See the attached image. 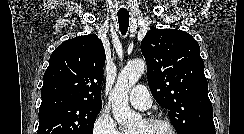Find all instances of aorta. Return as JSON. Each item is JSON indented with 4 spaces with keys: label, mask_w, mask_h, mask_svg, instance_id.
<instances>
[{
    "label": "aorta",
    "mask_w": 244,
    "mask_h": 134,
    "mask_svg": "<svg viewBox=\"0 0 244 134\" xmlns=\"http://www.w3.org/2000/svg\"><path fill=\"white\" fill-rule=\"evenodd\" d=\"M146 64L141 59L128 62L119 73L117 83L110 93L109 100L112 113L122 129L133 127L141 116L132 111L128 102V94L145 71Z\"/></svg>",
    "instance_id": "1"
}]
</instances>
